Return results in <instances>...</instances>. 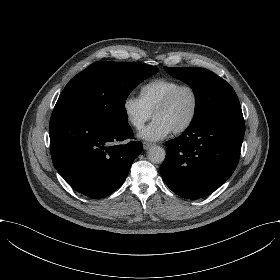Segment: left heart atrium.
I'll list each match as a JSON object with an SVG mask.
<instances>
[{
  "instance_id": "39dd6f15",
  "label": "left heart atrium",
  "mask_w": 280,
  "mask_h": 280,
  "mask_svg": "<svg viewBox=\"0 0 280 280\" xmlns=\"http://www.w3.org/2000/svg\"><path fill=\"white\" fill-rule=\"evenodd\" d=\"M173 131V127L166 121L154 118L151 124L138 134V137L146 141L156 142L167 138Z\"/></svg>"
}]
</instances>
